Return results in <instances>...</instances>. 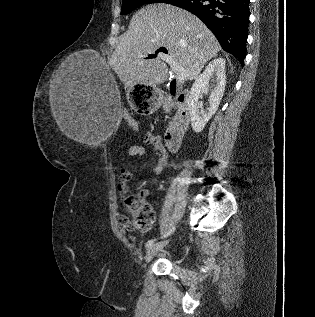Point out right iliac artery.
<instances>
[{"label": "right iliac artery", "instance_id": "right-iliac-artery-1", "mask_svg": "<svg viewBox=\"0 0 315 317\" xmlns=\"http://www.w3.org/2000/svg\"><path fill=\"white\" fill-rule=\"evenodd\" d=\"M174 230H175V227H172V228L170 229V231H168L166 234L163 235V237L165 238V237L169 236ZM163 237H162V238H163ZM155 241H156V239L149 240V241L146 243V248L151 247Z\"/></svg>", "mask_w": 315, "mask_h": 317}]
</instances>
